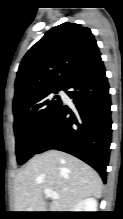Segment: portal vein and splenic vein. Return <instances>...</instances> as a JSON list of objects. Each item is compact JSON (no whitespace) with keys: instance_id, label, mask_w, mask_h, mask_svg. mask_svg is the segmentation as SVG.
Wrapping results in <instances>:
<instances>
[{"instance_id":"1","label":"portal vein and splenic vein","mask_w":123,"mask_h":219,"mask_svg":"<svg viewBox=\"0 0 123 219\" xmlns=\"http://www.w3.org/2000/svg\"><path fill=\"white\" fill-rule=\"evenodd\" d=\"M44 194L48 198H52V199H59L60 198V196L57 193L53 192L50 189H45Z\"/></svg>"}]
</instances>
